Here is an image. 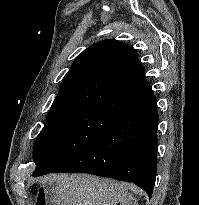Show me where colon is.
<instances>
[{
    "label": "colon",
    "mask_w": 199,
    "mask_h": 205,
    "mask_svg": "<svg viewBox=\"0 0 199 205\" xmlns=\"http://www.w3.org/2000/svg\"><path fill=\"white\" fill-rule=\"evenodd\" d=\"M37 205H45V203L43 202L42 199H40V200L38 201V204H37Z\"/></svg>",
    "instance_id": "obj_1"
}]
</instances>
